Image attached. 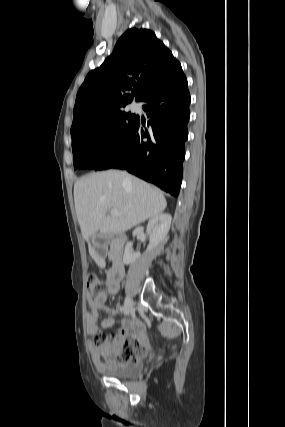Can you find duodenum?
Returning <instances> with one entry per match:
<instances>
[{
    "label": "duodenum",
    "instance_id": "duodenum-1",
    "mask_svg": "<svg viewBox=\"0 0 285 427\" xmlns=\"http://www.w3.org/2000/svg\"><path fill=\"white\" fill-rule=\"evenodd\" d=\"M119 247L112 252V267L108 272V278L111 280H120L124 276V268L121 263L120 246L124 243V238L117 239Z\"/></svg>",
    "mask_w": 285,
    "mask_h": 427
}]
</instances>
